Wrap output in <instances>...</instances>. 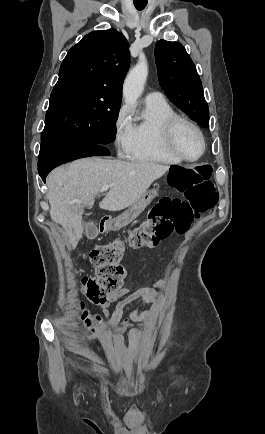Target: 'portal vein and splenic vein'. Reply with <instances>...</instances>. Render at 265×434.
I'll return each mask as SVG.
<instances>
[{"instance_id":"portal-vein-and-splenic-vein-1","label":"portal vein and splenic vein","mask_w":265,"mask_h":434,"mask_svg":"<svg viewBox=\"0 0 265 434\" xmlns=\"http://www.w3.org/2000/svg\"><path fill=\"white\" fill-rule=\"evenodd\" d=\"M109 188L110 186H102L100 190V194H103V192H107ZM69 204H82V200H72V202H69Z\"/></svg>"}]
</instances>
